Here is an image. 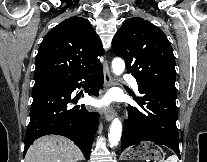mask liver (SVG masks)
<instances>
[{"label":"liver","instance_id":"1","mask_svg":"<svg viewBox=\"0 0 207 162\" xmlns=\"http://www.w3.org/2000/svg\"><path fill=\"white\" fill-rule=\"evenodd\" d=\"M80 149L68 138L59 135L40 137L29 147L25 162H77Z\"/></svg>","mask_w":207,"mask_h":162}]
</instances>
